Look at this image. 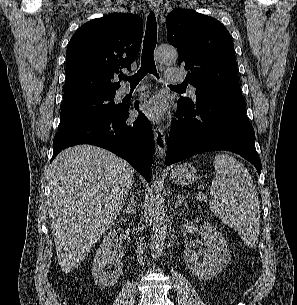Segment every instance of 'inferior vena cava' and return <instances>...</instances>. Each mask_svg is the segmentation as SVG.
I'll return each mask as SVG.
<instances>
[{
    "label": "inferior vena cava",
    "mask_w": 297,
    "mask_h": 305,
    "mask_svg": "<svg viewBox=\"0 0 297 305\" xmlns=\"http://www.w3.org/2000/svg\"><path fill=\"white\" fill-rule=\"evenodd\" d=\"M136 253H137V259H138V262L141 263L142 260H143V247H142V243L139 242L138 246H137V250H136Z\"/></svg>",
    "instance_id": "1"
}]
</instances>
